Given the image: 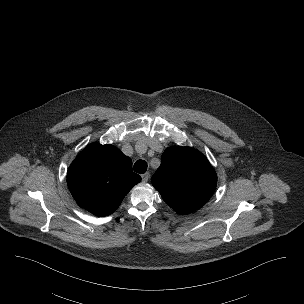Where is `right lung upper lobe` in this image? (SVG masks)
I'll return each instance as SVG.
<instances>
[{"label":"right lung upper lobe","instance_id":"right-lung-upper-lobe-1","mask_svg":"<svg viewBox=\"0 0 304 304\" xmlns=\"http://www.w3.org/2000/svg\"><path fill=\"white\" fill-rule=\"evenodd\" d=\"M140 181L131 159L107 144L88 145L67 172L68 187L78 205L97 216L113 213Z\"/></svg>","mask_w":304,"mask_h":304}]
</instances>
